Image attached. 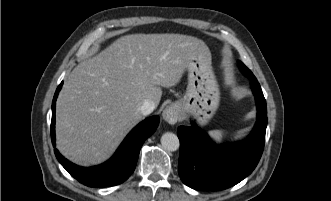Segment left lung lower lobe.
<instances>
[{"mask_svg":"<svg viewBox=\"0 0 331 201\" xmlns=\"http://www.w3.org/2000/svg\"><path fill=\"white\" fill-rule=\"evenodd\" d=\"M250 79L258 115L246 140L218 146L194 122L191 126L178 128V174L187 186L203 191L223 190L242 181L257 166L265 143L267 107L256 77Z\"/></svg>","mask_w":331,"mask_h":201,"instance_id":"1","label":"left lung lower lobe"}]
</instances>
